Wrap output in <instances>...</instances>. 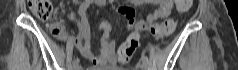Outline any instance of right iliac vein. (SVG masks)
Masks as SVG:
<instances>
[{
	"mask_svg": "<svg viewBox=\"0 0 238 70\" xmlns=\"http://www.w3.org/2000/svg\"><path fill=\"white\" fill-rule=\"evenodd\" d=\"M73 70H80V66L79 65H73Z\"/></svg>",
	"mask_w": 238,
	"mask_h": 70,
	"instance_id": "1",
	"label": "right iliac vein"
}]
</instances>
